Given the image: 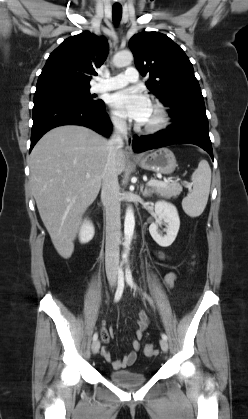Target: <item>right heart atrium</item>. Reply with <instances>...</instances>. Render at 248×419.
Here are the masks:
<instances>
[{
    "instance_id": "obj_1",
    "label": "right heart atrium",
    "mask_w": 248,
    "mask_h": 419,
    "mask_svg": "<svg viewBox=\"0 0 248 419\" xmlns=\"http://www.w3.org/2000/svg\"><path fill=\"white\" fill-rule=\"evenodd\" d=\"M111 123L114 125V127L118 129H124L125 128V121L119 117L116 113H111L110 115Z\"/></svg>"
}]
</instances>
